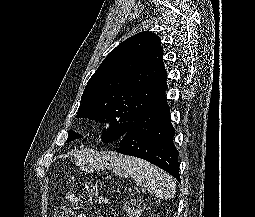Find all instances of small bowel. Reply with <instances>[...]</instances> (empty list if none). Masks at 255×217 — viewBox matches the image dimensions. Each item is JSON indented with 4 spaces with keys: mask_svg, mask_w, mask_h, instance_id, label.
<instances>
[{
    "mask_svg": "<svg viewBox=\"0 0 255 217\" xmlns=\"http://www.w3.org/2000/svg\"><path fill=\"white\" fill-rule=\"evenodd\" d=\"M77 217H87V216L85 214H83V213H80V214H78Z\"/></svg>",
    "mask_w": 255,
    "mask_h": 217,
    "instance_id": "c3829d8e",
    "label": "small bowel"
}]
</instances>
